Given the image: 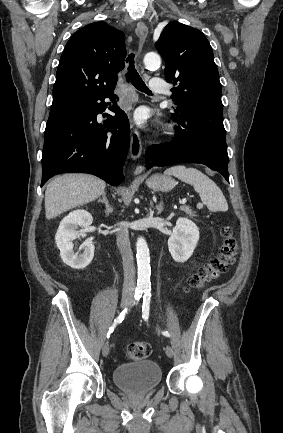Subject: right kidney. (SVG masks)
Instances as JSON below:
<instances>
[{
    "label": "right kidney",
    "mask_w": 283,
    "mask_h": 433,
    "mask_svg": "<svg viewBox=\"0 0 283 433\" xmlns=\"http://www.w3.org/2000/svg\"><path fill=\"white\" fill-rule=\"evenodd\" d=\"M92 215L85 210H75L70 212L60 222L55 235V241L62 261L73 269H84L94 257V245L88 239L82 245L83 253L78 255L73 252V240L79 236H86L89 226L92 224ZM81 227V230H77Z\"/></svg>",
    "instance_id": "1"
}]
</instances>
